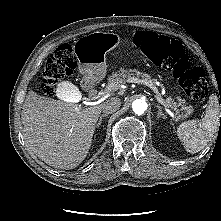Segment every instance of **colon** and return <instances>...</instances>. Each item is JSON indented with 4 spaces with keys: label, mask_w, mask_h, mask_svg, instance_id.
Masks as SVG:
<instances>
[{
    "label": "colon",
    "mask_w": 221,
    "mask_h": 221,
    "mask_svg": "<svg viewBox=\"0 0 221 221\" xmlns=\"http://www.w3.org/2000/svg\"><path fill=\"white\" fill-rule=\"evenodd\" d=\"M134 42L153 64L172 71L192 100L202 102L206 99L208 77L202 68L191 65L178 41L154 32L138 31L134 35ZM76 64V57L70 44L65 43L56 48L50 54L44 69L43 91L51 95L53 82L71 75Z\"/></svg>",
    "instance_id": "obj_1"
}]
</instances>
